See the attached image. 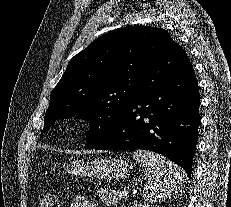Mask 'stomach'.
<instances>
[{"label":"stomach","mask_w":231,"mask_h":207,"mask_svg":"<svg viewBox=\"0 0 231 207\" xmlns=\"http://www.w3.org/2000/svg\"><path fill=\"white\" fill-rule=\"evenodd\" d=\"M71 175L93 176L101 180H119L127 176L130 167L127 162L116 158H102L94 161L74 160L63 166Z\"/></svg>","instance_id":"stomach-1"}]
</instances>
